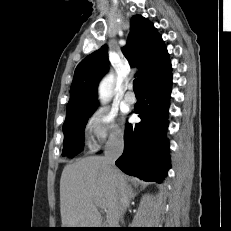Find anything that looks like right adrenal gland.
<instances>
[{
    "label": "right adrenal gland",
    "instance_id": "right-adrenal-gland-1",
    "mask_svg": "<svg viewBox=\"0 0 231 231\" xmlns=\"http://www.w3.org/2000/svg\"><path fill=\"white\" fill-rule=\"evenodd\" d=\"M127 192H128L129 200L133 199L137 194L136 192H134V190L131 186L128 187Z\"/></svg>",
    "mask_w": 231,
    "mask_h": 231
}]
</instances>
